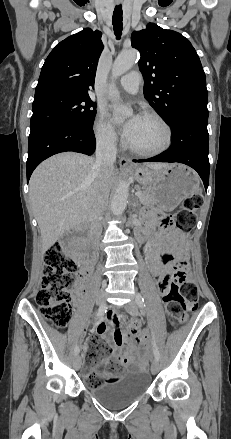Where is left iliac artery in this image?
<instances>
[{
  "instance_id": "1",
  "label": "left iliac artery",
  "mask_w": 231,
  "mask_h": 439,
  "mask_svg": "<svg viewBox=\"0 0 231 439\" xmlns=\"http://www.w3.org/2000/svg\"><path fill=\"white\" fill-rule=\"evenodd\" d=\"M136 302H137L138 306H140L142 308L145 307V300L141 296V294H139V293L136 296ZM152 346H153V353H154L155 359L159 360L160 359V353H159V350H158V348L156 346L154 336L152 337Z\"/></svg>"
}]
</instances>
